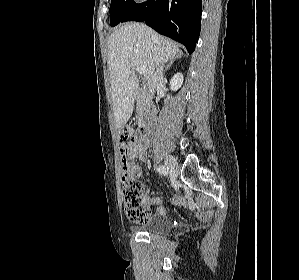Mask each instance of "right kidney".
<instances>
[{
  "label": "right kidney",
  "mask_w": 299,
  "mask_h": 280,
  "mask_svg": "<svg viewBox=\"0 0 299 280\" xmlns=\"http://www.w3.org/2000/svg\"><path fill=\"white\" fill-rule=\"evenodd\" d=\"M182 83H183V75L181 73H177L172 77L170 81V88L173 91H177L182 86Z\"/></svg>",
  "instance_id": "ca27d5eb"
}]
</instances>
